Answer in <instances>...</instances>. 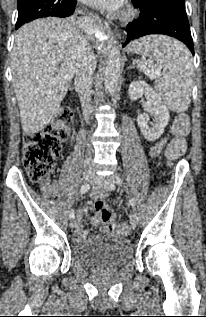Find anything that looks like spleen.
I'll use <instances>...</instances> for the list:
<instances>
[{"instance_id": "1", "label": "spleen", "mask_w": 206, "mask_h": 317, "mask_svg": "<svg viewBox=\"0 0 206 317\" xmlns=\"http://www.w3.org/2000/svg\"><path fill=\"white\" fill-rule=\"evenodd\" d=\"M131 53L147 56L156 61L160 72L154 87L167 108L174 112L186 111L191 102L193 64L189 50L170 37L153 35L135 40L129 48Z\"/></svg>"}]
</instances>
